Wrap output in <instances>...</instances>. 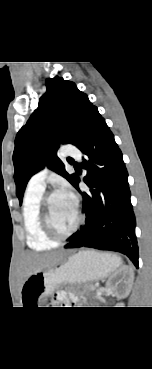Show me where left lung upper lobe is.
Returning a JSON list of instances; mask_svg holds the SVG:
<instances>
[{
	"mask_svg": "<svg viewBox=\"0 0 152 369\" xmlns=\"http://www.w3.org/2000/svg\"><path fill=\"white\" fill-rule=\"evenodd\" d=\"M46 87L38 108L15 140L14 179L20 204L28 180L45 165L74 184L77 175H69L65 171L56 152L60 144H78L88 121L97 110L73 82L56 76L46 80Z\"/></svg>",
	"mask_w": 152,
	"mask_h": 369,
	"instance_id": "1",
	"label": "left lung upper lobe"
}]
</instances>
